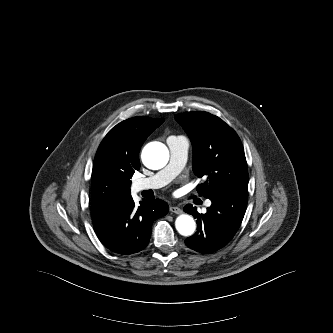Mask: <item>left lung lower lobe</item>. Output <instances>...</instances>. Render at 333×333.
<instances>
[{"label":"left lung lower lobe","instance_id":"1","mask_svg":"<svg viewBox=\"0 0 333 333\" xmlns=\"http://www.w3.org/2000/svg\"><path fill=\"white\" fill-rule=\"evenodd\" d=\"M247 190L217 193L209 199L212 204L205 214L188 204L184 211L197 218V232L185 240L186 245L208 254L224 247L237 232L247 207Z\"/></svg>","mask_w":333,"mask_h":333}]
</instances>
